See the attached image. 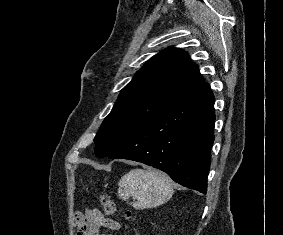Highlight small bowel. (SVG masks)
<instances>
[{
	"label": "small bowel",
	"mask_w": 283,
	"mask_h": 235,
	"mask_svg": "<svg viewBox=\"0 0 283 235\" xmlns=\"http://www.w3.org/2000/svg\"><path fill=\"white\" fill-rule=\"evenodd\" d=\"M74 220L76 235H98V230L102 227L110 231H118L121 228L117 220L106 218L97 209H87L84 213L76 212Z\"/></svg>",
	"instance_id": "obj_1"
}]
</instances>
